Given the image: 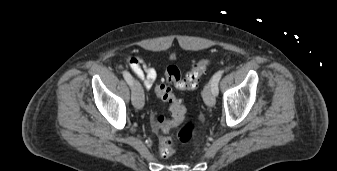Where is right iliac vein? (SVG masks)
I'll use <instances>...</instances> for the list:
<instances>
[{
    "mask_svg": "<svg viewBox=\"0 0 337 171\" xmlns=\"http://www.w3.org/2000/svg\"><path fill=\"white\" fill-rule=\"evenodd\" d=\"M131 100L137 109H142L144 106V93L141 84L133 80L132 83V94H131Z\"/></svg>",
    "mask_w": 337,
    "mask_h": 171,
    "instance_id": "right-iliac-vein-1",
    "label": "right iliac vein"
}]
</instances>
